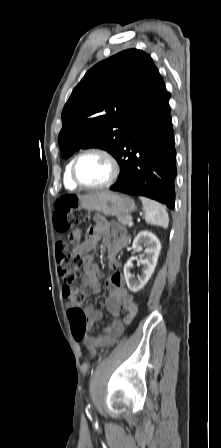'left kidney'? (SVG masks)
Segmentation results:
<instances>
[{"mask_svg": "<svg viewBox=\"0 0 221 448\" xmlns=\"http://www.w3.org/2000/svg\"><path fill=\"white\" fill-rule=\"evenodd\" d=\"M141 244H144L147 247L145 249L146 258L141 260V263L144 265V270L142 275L138 277V280L132 279L130 272L131 264L127 263L124 265V276L127 287L134 293L141 290L150 279L155 270L161 250L160 241L153 233L149 231H141L137 234L132 244L133 250L139 248Z\"/></svg>", "mask_w": 221, "mask_h": 448, "instance_id": "5707ae66", "label": "left kidney"}]
</instances>
